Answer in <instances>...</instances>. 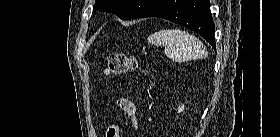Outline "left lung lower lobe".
Masks as SVG:
<instances>
[{"instance_id": "1", "label": "left lung lower lobe", "mask_w": 280, "mask_h": 137, "mask_svg": "<svg viewBox=\"0 0 280 137\" xmlns=\"http://www.w3.org/2000/svg\"><path fill=\"white\" fill-rule=\"evenodd\" d=\"M141 17H160L187 27L201 35L216 50L215 25L209 0H160Z\"/></svg>"}]
</instances>
